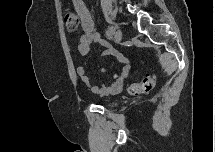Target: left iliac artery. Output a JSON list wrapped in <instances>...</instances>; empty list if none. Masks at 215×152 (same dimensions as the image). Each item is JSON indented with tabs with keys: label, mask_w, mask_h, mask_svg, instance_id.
<instances>
[{
	"label": "left iliac artery",
	"mask_w": 215,
	"mask_h": 152,
	"mask_svg": "<svg viewBox=\"0 0 215 152\" xmlns=\"http://www.w3.org/2000/svg\"><path fill=\"white\" fill-rule=\"evenodd\" d=\"M114 30H115L114 27H113V26H110V27L108 28L107 32H106L107 36L113 35Z\"/></svg>",
	"instance_id": "44dca946"
}]
</instances>
